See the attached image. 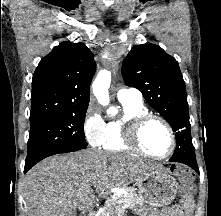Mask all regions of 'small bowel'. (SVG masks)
Instances as JSON below:
<instances>
[{
    "mask_svg": "<svg viewBox=\"0 0 221 216\" xmlns=\"http://www.w3.org/2000/svg\"><path fill=\"white\" fill-rule=\"evenodd\" d=\"M194 211V205L192 200L186 202L183 198L180 205H174L172 207L163 209L160 216H192Z\"/></svg>",
    "mask_w": 221,
    "mask_h": 216,
    "instance_id": "small-bowel-1",
    "label": "small bowel"
}]
</instances>
